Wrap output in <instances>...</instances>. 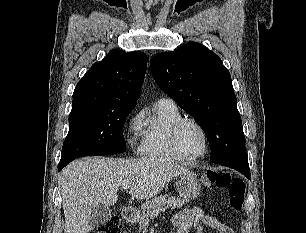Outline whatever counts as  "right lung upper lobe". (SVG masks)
Instances as JSON below:
<instances>
[{
    "label": "right lung upper lobe",
    "mask_w": 306,
    "mask_h": 233,
    "mask_svg": "<svg viewBox=\"0 0 306 233\" xmlns=\"http://www.w3.org/2000/svg\"><path fill=\"white\" fill-rule=\"evenodd\" d=\"M146 67L147 56L140 51H110L78 82L72 106L134 108L140 97Z\"/></svg>",
    "instance_id": "1"
}]
</instances>
